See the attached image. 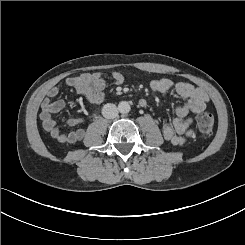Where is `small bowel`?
<instances>
[{
  "label": "small bowel",
  "mask_w": 245,
  "mask_h": 245,
  "mask_svg": "<svg viewBox=\"0 0 245 245\" xmlns=\"http://www.w3.org/2000/svg\"><path fill=\"white\" fill-rule=\"evenodd\" d=\"M113 84L121 85L124 76L120 72H112ZM66 85L74 88L84 98L93 103H101L106 97V81L100 72L83 73L70 77L66 80ZM150 88L154 91L165 93L174 91L179 96L187 99L186 103L176 109V117L172 122H165L162 126V134L165 140L172 145H183L192 136L193 114L201 113L208 103L207 93L192 84L182 81H173L169 78L153 79ZM60 86L50 88L41 104L39 118L42 126L50 136L60 143L72 144L84 137L83 129H74L69 132L62 131L53 118V114L62 111L66 103L63 100H54L59 94ZM146 100L140 99L139 105L145 107ZM83 122L82 118H70L66 121L68 126L74 127Z\"/></svg>",
  "instance_id": "small-bowel-1"
}]
</instances>
